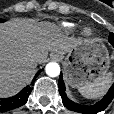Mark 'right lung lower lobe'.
<instances>
[{
    "instance_id": "98d812e1",
    "label": "right lung lower lobe",
    "mask_w": 114,
    "mask_h": 114,
    "mask_svg": "<svg viewBox=\"0 0 114 114\" xmlns=\"http://www.w3.org/2000/svg\"><path fill=\"white\" fill-rule=\"evenodd\" d=\"M39 71L35 77L36 79L37 75L40 73ZM33 80V82H34ZM31 93V87L26 86L24 89H22L17 95L10 97V98H3L0 99V112H6L9 110H12L14 108L20 107L24 105Z\"/></svg>"
}]
</instances>
